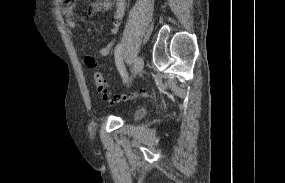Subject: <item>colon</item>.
Segmentation results:
<instances>
[{
    "mask_svg": "<svg viewBox=\"0 0 285 183\" xmlns=\"http://www.w3.org/2000/svg\"><path fill=\"white\" fill-rule=\"evenodd\" d=\"M93 82L96 92L107 102L115 103L119 101H125L128 99H132L137 96V93H129V94H114L110 90L108 81L104 77V75L100 72H96L93 75Z\"/></svg>",
    "mask_w": 285,
    "mask_h": 183,
    "instance_id": "1",
    "label": "colon"
}]
</instances>
